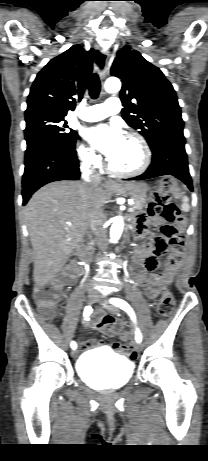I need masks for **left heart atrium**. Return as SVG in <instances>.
<instances>
[{"label": "left heart atrium", "instance_id": "1", "mask_svg": "<svg viewBox=\"0 0 208 461\" xmlns=\"http://www.w3.org/2000/svg\"><path fill=\"white\" fill-rule=\"evenodd\" d=\"M88 138L95 148L109 158L118 151L124 140L118 127L106 124L92 128L88 133Z\"/></svg>", "mask_w": 208, "mask_h": 461}]
</instances>
